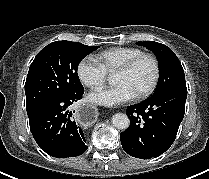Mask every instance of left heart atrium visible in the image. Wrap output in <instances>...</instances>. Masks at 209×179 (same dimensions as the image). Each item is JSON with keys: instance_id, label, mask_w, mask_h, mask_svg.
Wrapping results in <instances>:
<instances>
[{"instance_id": "obj_1", "label": "left heart atrium", "mask_w": 209, "mask_h": 179, "mask_svg": "<svg viewBox=\"0 0 209 179\" xmlns=\"http://www.w3.org/2000/svg\"><path fill=\"white\" fill-rule=\"evenodd\" d=\"M136 95L125 84L102 89L89 95V100L104 106H115L132 100Z\"/></svg>"}]
</instances>
